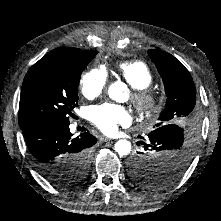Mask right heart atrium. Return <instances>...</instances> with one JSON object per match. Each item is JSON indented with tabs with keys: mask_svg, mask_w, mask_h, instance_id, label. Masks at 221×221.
Masks as SVG:
<instances>
[{
	"mask_svg": "<svg viewBox=\"0 0 221 221\" xmlns=\"http://www.w3.org/2000/svg\"><path fill=\"white\" fill-rule=\"evenodd\" d=\"M108 83V74L104 68H92L86 71L80 79V89L82 94L93 99L100 96Z\"/></svg>",
	"mask_w": 221,
	"mask_h": 221,
	"instance_id": "d8ad5b80",
	"label": "right heart atrium"
}]
</instances>
